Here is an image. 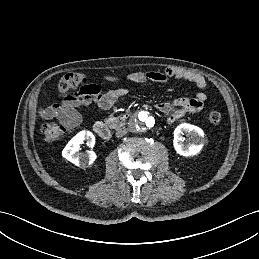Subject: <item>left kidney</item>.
Instances as JSON below:
<instances>
[{
  "instance_id": "obj_1",
  "label": "left kidney",
  "mask_w": 259,
  "mask_h": 259,
  "mask_svg": "<svg viewBox=\"0 0 259 259\" xmlns=\"http://www.w3.org/2000/svg\"><path fill=\"white\" fill-rule=\"evenodd\" d=\"M184 133L190 135L189 143L184 144ZM204 132L201 128L183 123L174 130V149L181 156H194L198 154L204 146Z\"/></svg>"
}]
</instances>
